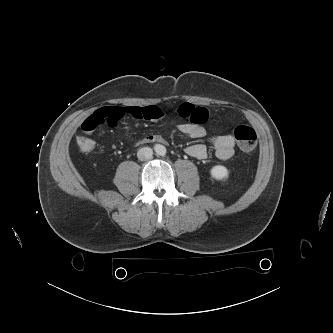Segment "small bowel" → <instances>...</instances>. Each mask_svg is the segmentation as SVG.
<instances>
[{
    "label": "small bowel",
    "instance_id": "obj_1",
    "mask_svg": "<svg viewBox=\"0 0 333 333\" xmlns=\"http://www.w3.org/2000/svg\"><path fill=\"white\" fill-rule=\"evenodd\" d=\"M178 114L185 120L178 125L180 132L193 139H201L206 136L207 132L203 126L208 119V111L206 108L185 102L178 107ZM125 116L158 121L163 118L164 113L160 108L155 106L103 107L89 115L82 122L81 129L86 133H92L103 124L116 126ZM155 142L166 143V140L161 134L153 133L144 136L139 141L140 144ZM211 143L218 159L228 160L233 156L236 145V140L233 135H216L212 137ZM185 152L196 159H205L208 155V149L206 145L202 143L189 145L185 148Z\"/></svg>",
    "mask_w": 333,
    "mask_h": 333
}]
</instances>
